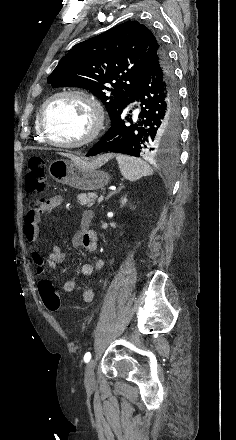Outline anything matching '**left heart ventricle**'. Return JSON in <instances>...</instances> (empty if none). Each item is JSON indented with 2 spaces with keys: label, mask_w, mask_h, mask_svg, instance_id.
I'll use <instances>...</instances> for the list:
<instances>
[{
  "label": "left heart ventricle",
  "mask_w": 236,
  "mask_h": 440,
  "mask_svg": "<svg viewBox=\"0 0 236 440\" xmlns=\"http://www.w3.org/2000/svg\"><path fill=\"white\" fill-rule=\"evenodd\" d=\"M45 126L49 136L60 142H75L87 135L92 124L89 107L83 101L61 97L46 109Z\"/></svg>",
  "instance_id": "b2bd125f"
}]
</instances>
